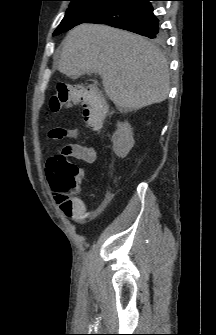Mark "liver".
<instances>
[{"instance_id":"obj_1","label":"liver","mask_w":216,"mask_h":335,"mask_svg":"<svg viewBox=\"0 0 216 335\" xmlns=\"http://www.w3.org/2000/svg\"><path fill=\"white\" fill-rule=\"evenodd\" d=\"M58 70L67 76L98 73L121 111L164 101L169 93L168 63L145 38L107 25L81 24L66 35Z\"/></svg>"}]
</instances>
